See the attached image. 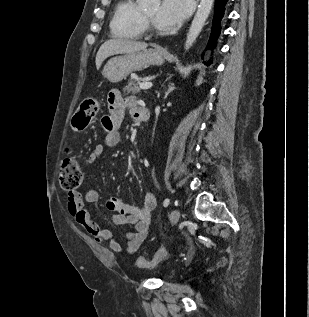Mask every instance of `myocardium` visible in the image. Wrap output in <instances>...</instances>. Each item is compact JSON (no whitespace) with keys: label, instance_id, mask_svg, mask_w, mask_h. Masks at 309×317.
<instances>
[{"label":"myocardium","instance_id":"1","mask_svg":"<svg viewBox=\"0 0 309 317\" xmlns=\"http://www.w3.org/2000/svg\"><path fill=\"white\" fill-rule=\"evenodd\" d=\"M143 20L144 24L153 32H155L154 24L153 22L146 16V14H143Z\"/></svg>","mask_w":309,"mask_h":317}]
</instances>
